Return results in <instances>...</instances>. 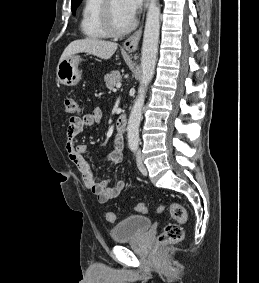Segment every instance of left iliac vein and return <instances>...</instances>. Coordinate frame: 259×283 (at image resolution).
Segmentation results:
<instances>
[{
    "mask_svg": "<svg viewBox=\"0 0 259 283\" xmlns=\"http://www.w3.org/2000/svg\"><path fill=\"white\" fill-rule=\"evenodd\" d=\"M137 166L138 169L141 171L142 174L147 175V168L143 162L142 156L140 153L137 155Z\"/></svg>",
    "mask_w": 259,
    "mask_h": 283,
    "instance_id": "obj_1",
    "label": "left iliac vein"
}]
</instances>
